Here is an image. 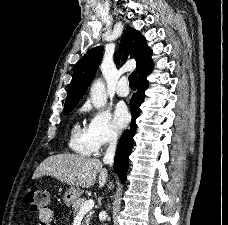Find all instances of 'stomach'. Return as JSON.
Returning a JSON list of instances; mask_svg holds the SVG:
<instances>
[{"label": "stomach", "instance_id": "stomach-1", "mask_svg": "<svg viewBox=\"0 0 228 225\" xmlns=\"http://www.w3.org/2000/svg\"><path fill=\"white\" fill-rule=\"evenodd\" d=\"M80 195L81 189L79 187H70V189H67L63 201L65 205H73L74 201H77Z\"/></svg>", "mask_w": 228, "mask_h": 225}]
</instances>
